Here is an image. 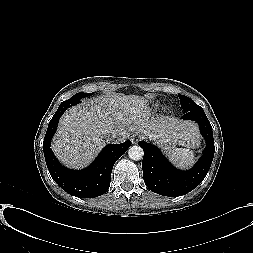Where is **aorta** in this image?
I'll use <instances>...</instances> for the list:
<instances>
[{
  "instance_id": "1",
  "label": "aorta",
  "mask_w": 253,
  "mask_h": 253,
  "mask_svg": "<svg viewBox=\"0 0 253 253\" xmlns=\"http://www.w3.org/2000/svg\"><path fill=\"white\" fill-rule=\"evenodd\" d=\"M128 155L130 159L137 161L143 158L144 151L140 146L134 145L128 149Z\"/></svg>"
}]
</instances>
